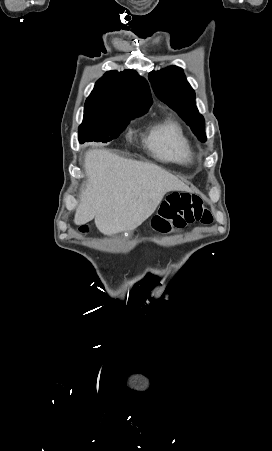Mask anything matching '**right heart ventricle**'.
Here are the masks:
<instances>
[{
    "label": "right heart ventricle",
    "mask_w": 272,
    "mask_h": 451,
    "mask_svg": "<svg viewBox=\"0 0 272 451\" xmlns=\"http://www.w3.org/2000/svg\"><path fill=\"white\" fill-rule=\"evenodd\" d=\"M148 146L155 155L165 161L183 166L193 164V155L181 129L173 121L155 127L148 139Z\"/></svg>",
    "instance_id": "1"
}]
</instances>
